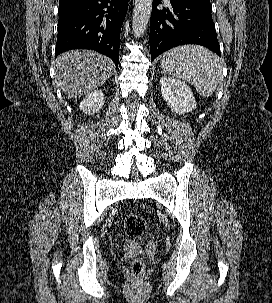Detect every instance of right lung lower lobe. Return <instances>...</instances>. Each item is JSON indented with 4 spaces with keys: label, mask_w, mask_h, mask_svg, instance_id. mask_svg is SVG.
<instances>
[{
    "label": "right lung lower lobe",
    "mask_w": 272,
    "mask_h": 303,
    "mask_svg": "<svg viewBox=\"0 0 272 303\" xmlns=\"http://www.w3.org/2000/svg\"><path fill=\"white\" fill-rule=\"evenodd\" d=\"M128 0H87L59 10L55 56L71 49H92L118 67L120 31Z\"/></svg>",
    "instance_id": "obj_1"
}]
</instances>
